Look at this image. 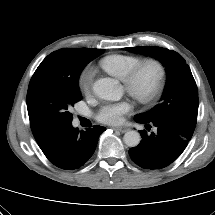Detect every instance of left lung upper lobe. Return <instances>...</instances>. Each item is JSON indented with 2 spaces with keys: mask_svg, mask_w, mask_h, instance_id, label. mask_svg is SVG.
Here are the masks:
<instances>
[{
  "mask_svg": "<svg viewBox=\"0 0 215 215\" xmlns=\"http://www.w3.org/2000/svg\"><path fill=\"white\" fill-rule=\"evenodd\" d=\"M125 49L159 60L167 72V81L159 104L135 117L158 121L169 120L193 133L198 113V90L184 58L175 51L161 47L144 46Z\"/></svg>",
  "mask_w": 215,
  "mask_h": 215,
  "instance_id": "1",
  "label": "left lung upper lobe"
}]
</instances>
